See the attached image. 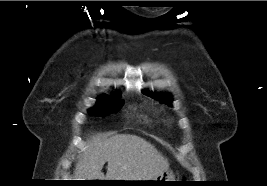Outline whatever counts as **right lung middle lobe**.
<instances>
[{"label":"right lung middle lobe","mask_w":267,"mask_h":186,"mask_svg":"<svg viewBox=\"0 0 267 186\" xmlns=\"http://www.w3.org/2000/svg\"><path fill=\"white\" fill-rule=\"evenodd\" d=\"M122 107V102L116 99L108 97H102L98 100V103L91 109L89 113L95 116H106L111 113H116Z\"/></svg>","instance_id":"right-lung-middle-lobe-1"}]
</instances>
